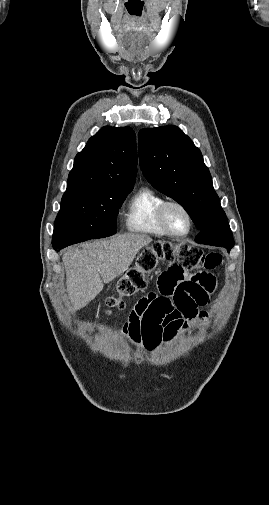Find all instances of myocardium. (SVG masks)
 Masks as SVG:
<instances>
[{"mask_svg": "<svg viewBox=\"0 0 269 505\" xmlns=\"http://www.w3.org/2000/svg\"><path fill=\"white\" fill-rule=\"evenodd\" d=\"M171 206H176L180 208L187 216L188 221H189V227L186 232L184 233H177L174 232L173 230L170 229L166 222V211L169 207ZM157 220L161 228L167 233V235L173 236V237H185L190 234V232L193 229L194 226V219L192 216L191 211L188 209L187 206H185L183 203L176 201V200H167L162 202L158 209H157Z\"/></svg>", "mask_w": 269, "mask_h": 505, "instance_id": "f54148a6", "label": "myocardium"}]
</instances>
